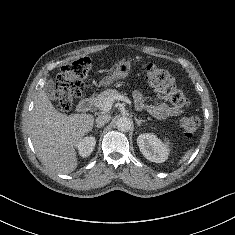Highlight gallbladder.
<instances>
[{
    "label": "gallbladder",
    "instance_id": "1",
    "mask_svg": "<svg viewBox=\"0 0 235 235\" xmlns=\"http://www.w3.org/2000/svg\"><path fill=\"white\" fill-rule=\"evenodd\" d=\"M46 93L50 98H53L55 95L54 81L49 79L45 87Z\"/></svg>",
    "mask_w": 235,
    "mask_h": 235
}]
</instances>
